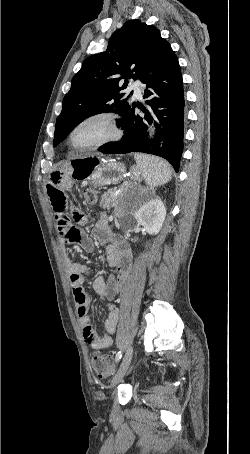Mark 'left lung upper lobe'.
Here are the masks:
<instances>
[{"label":"left lung upper lobe","mask_w":250,"mask_h":454,"mask_svg":"<svg viewBox=\"0 0 250 454\" xmlns=\"http://www.w3.org/2000/svg\"><path fill=\"white\" fill-rule=\"evenodd\" d=\"M172 51L160 31L140 20L127 21L116 30L105 52L88 57L74 75L56 120L53 146L56 147L84 119L99 113L122 116L130 103L120 93L128 79L142 80L152 73ZM124 81L122 87L119 83ZM132 93V92H131Z\"/></svg>","instance_id":"obj_1"}]
</instances>
